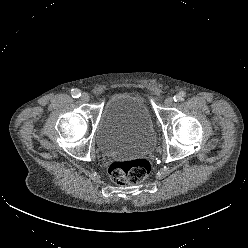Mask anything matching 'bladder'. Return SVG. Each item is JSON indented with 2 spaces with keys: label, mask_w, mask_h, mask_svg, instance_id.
<instances>
[{
  "label": "bladder",
  "mask_w": 248,
  "mask_h": 248,
  "mask_svg": "<svg viewBox=\"0 0 248 248\" xmlns=\"http://www.w3.org/2000/svg\"><path fill=\"white\" fill-rule=\"evenodd\" d=\"M95 138L101 151L108 155L153 151L157 135L145 98L134 93L111 95L103 104Z\"/></svg>",
  "instance_id": "bladder-1"
}]
</instances>
